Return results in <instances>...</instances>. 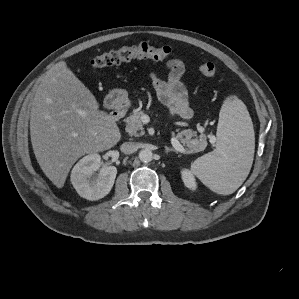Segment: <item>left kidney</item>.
Instances as JSON below:
<instances>
[{
  "instance_id": "1",
  "label": "left kidney",
  "mask_w": 299,
  "mask_h": 299,
  "mask_svg": "<svg viewBox=\"0 0 299 299\" xmlns=\"http://www.w3.org/2000/svg\"><path fill=\"white\" fill-rule=\"evenodd\" d=\"M182 179L185 186L191 190H195L197 187L196 181L192 173L188 170H183L182 172Z\"/></svg>"
}]
</instances>
